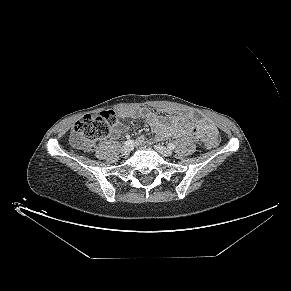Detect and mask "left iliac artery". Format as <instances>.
I'll use <instances>...</instances> for the list:
<instances>
[{"mask_svg":"<svg viewBox=\"0 0 291 291\" xmlns=\"http://www.w3.org/2000/svg\"><path fill=\"white\" fill-rule=\"evenodd\" d=\"M167 147L170 149V150H173V149H175V144H173V143H169L168 145H167Z\"/></svg>","mask_w":291,"mask_h":291,"instance_id":"1","label":"left iliac artery"}]
</instances>
